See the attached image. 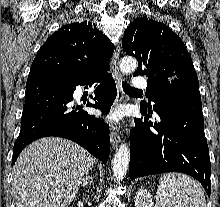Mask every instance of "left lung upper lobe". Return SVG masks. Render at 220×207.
<instances>
[{
	"label": "left lung upper lobe",
	"mask_w": 220,
	"mask_h": 207,
	"mask_svg": "<svg viewBox=\"0 0 220 207\" xmlns=\"http://www.w3.org/2000/svg\"><path fill=\"white\" fill-rule=\"evenodd\" d=\"M122 47L138 60L134 73L148 77V101L168 87L199 88L190 54L183 41L163 23L141 17L124 32ZM147 107H151L147 104Z\"/></svg>",
	"instance_id": "left-lung-upper-lobe-1"
}]
</instances>
